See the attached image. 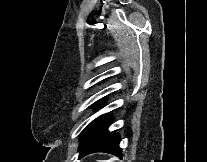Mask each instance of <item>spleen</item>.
<instances>
[{"instance_id": "3e777b00", "label": "spleen", "mask_w": 207, "mask_h": 162, "mask_svg": "<svg viewBox=\"0 0 207 162\" xmlns=\"http://www.w3.org/2000/svg\"><path fill=\"white\" fill-rule=\"evenodd\" d=\"M114 160H117V158H111L109 161H98V162H113Z\"/></svg>"}]
</instances>
